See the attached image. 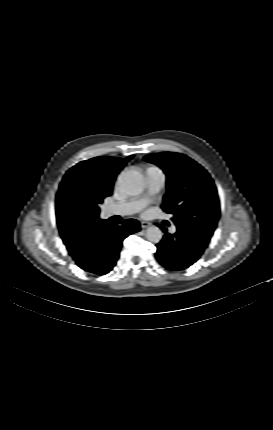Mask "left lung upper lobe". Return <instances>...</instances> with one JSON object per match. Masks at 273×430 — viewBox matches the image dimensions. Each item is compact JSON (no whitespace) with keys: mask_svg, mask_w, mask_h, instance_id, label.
<instances>
[{"mask_svg":"<svg viewBox=\"0 0 273 430\" xmlns=\"http://www.w3.org/2000/svg\"><path fill=\"white\" fill-rule=\"evenodd\" d=\"M144 158L159 166L167 176L163 211L173 215L172 220L179 229L207 247L220 215L219 198L210 175L180 153H156Z\"/></svg>","mask_w":273,"mask_h":430,"instance_id":"left-lung-upper-lobe-1","label":"left lung upper lobe"}]
</instances>
